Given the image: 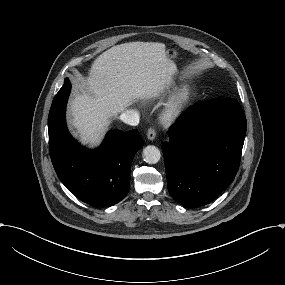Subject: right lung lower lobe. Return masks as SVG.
I'll use <instances>...</instances> for the list:
<instances>
[{
  "label": "right lung lower lobe",
  "mask_w": 285,
  "mask_h": 285,
  "mask_svg": "<svg viewBox=\"0 0 285 285\" xmlns=\"http://www.w3.org/2000/svg\"><path fill=\"white\" fill-rule=\"evenodd\" d=\"M71 90L68 78L56 94L48 117L49 150L62 183L81 201L98 207L120 202L130 187V168L143 140L137 130L108 132L103 144L91 151L81 147L65 123Z\"/></svg>",
  "instance_id": "1"
}]
</instances>
